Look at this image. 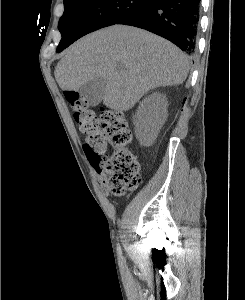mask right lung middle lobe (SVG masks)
I'll return each instance as SVG.
<instances>
[{
    "label": "right lung middle lobe",
    "mask_w": 245,
    "mask_h": 300,
    "mask_svg": "<svg viewBox=\"0 0 245 300\" xmlns=\"http://www.w3.org/2000/svg\"><path fill=\"white\" fill-rule=\"evenodd\" d=\"M150 1L64 0L65 10L58 25L62 39L57 52L90 32L116 24Z\"/></svg>",
    "instance_id": "right-lung-middle-lobe-1"
}]
</instances>
